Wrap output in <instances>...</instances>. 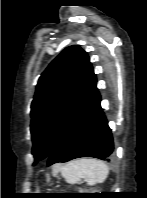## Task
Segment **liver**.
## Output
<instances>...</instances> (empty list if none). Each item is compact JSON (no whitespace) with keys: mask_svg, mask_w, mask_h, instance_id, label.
Masks as SVG:
<instances>
[{"mask_svg":"<svg viewBox=\"0 0 147 198\" xmlns=\"http://www.w3.org/2000/svg\"><path fill=\"white\" fill-rule=\"evenodd\" d=\"M58 170H59V168L56 167V168L54 169V173H57Z\"/></svg>","mask_w":147,"mask_h":198,"instance_id":"obj_1","label":"liver"}]
</instances>
